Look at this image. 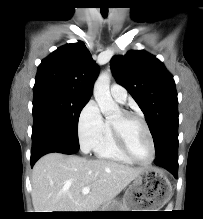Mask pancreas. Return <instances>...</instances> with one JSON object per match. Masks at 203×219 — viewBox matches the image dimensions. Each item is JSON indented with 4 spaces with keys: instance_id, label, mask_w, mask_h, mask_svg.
<instances>
[{
    "instance_id": "pancreas-1",
    "label": "pancreas",
    "mask_w": 203,
    "mask_h": 219,
    "mask_svg": "<svg viewBox=\"0 0 203 219\" xmlns=\"http://www.w3.org/2000/svg\"><path fill=\"white\" fill-rule=\"evenodd\" d=\"M114 204L118 205L120 208H124L121 203L113 202V201L109 200V201H107V202H105V203L103 204V206L101 207L102 209H100V211H106V210H108L109 208H112V206H113Z\"/></svg>"
}]
</instances>
